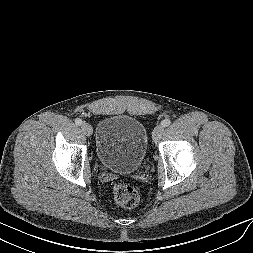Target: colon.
Segmentation results:
<instances>
[{"label": "colon", "mask_w": 253, "mask_h": 253, "mask_svg": "<svg viewBox=\"0 0 253 253\" xmlns=\"http://www.w3.org/2000/svg\"><path fill=\"white\" fill-rule=\"evenodd\" d=\"M113 196L119 205L129 209L138 206L140 201L138 191L126 183L115 184L113 186Z\"/></svg>", "instance_id": "5ec220e1"}]
</instances>
